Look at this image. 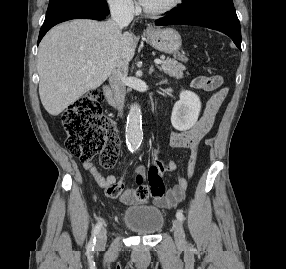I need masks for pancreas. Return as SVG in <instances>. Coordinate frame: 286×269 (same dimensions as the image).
<instances>
[{
    "label": "pancreas",
    "mask_w": 286,
    "mask_h": 269,
    "mask_svg": "<svg viewBox=\"0 0 286 269\" xmlns=\"http://www.w3.org/2000/svg\"><path fill=\"white\" fill-rule=\"evenodd\" d=\"M160 70L164 71L171 77L181 79L183 77V70H185V66L178 63L176 60L166 59L162 61Z\"/></svg>",
    "instance_id": "cf45deb5"
}]
</instances>
